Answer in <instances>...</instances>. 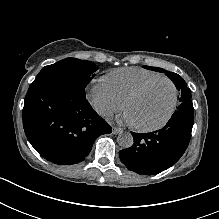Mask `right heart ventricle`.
Returning <instances> with one entry per match:
<instances>
[{
  "instance_id": "e07e8e85",
  "label": "right heart ventricle",
  "mask_w": 219,
  "mask_h": 219,
  "mask_svg": "<svg viewBox=\"0 0 219 219\" xmlns=\"http://www.w3.org/2000/svg\"><path fill=\"white\" fill-rule=\"evenodd\" d=\"M162 77L161 74L136 67L113 70L104 77L113 94L124 102L127 96L148 81Z\"/></svg>"
}]
</instances>
